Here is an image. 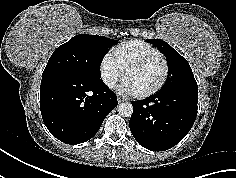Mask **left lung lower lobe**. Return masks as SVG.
Listing matches in <instances>:
<instances>
[{
  "instance_id": "1",
  "label": "left lung lower lobe",
  "mask_w": 236,
  "mask_h": 178,
  "mask_svg": "<svg viewBox=\"0 0 236 178\" xmlns=\"http://www.w3.org/2000/svg\"><path fill=\"white\" fill-rule=\"evenodd\" d=\"M198 91H159L151 98L131 102L130 130L151 151H165L190 131L197 116Z\"/></svg>"
}]
</instances>
